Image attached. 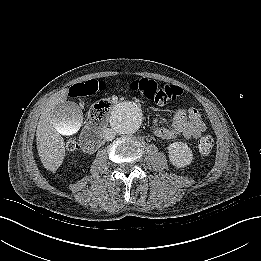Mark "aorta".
I'll list each match as a JSON object with an SVG mask.
<instances>
[{
  "label": "aorta",
  "instance_id": "obj_1",
  "mask_svg": "<svg viewBox=\"0 0 261 261\" xmlns=\"http://www.w3.org/2000/svg\"><path fill=\"white\" fill-rule=\"evenodd\" d=\"M143 122V112L135 102L126 101L116 105L110 115V125L121 135L135 133Z\"/></svg>",
  "mask_w": 261,
  "mask_h": 261
}]
</instances>
